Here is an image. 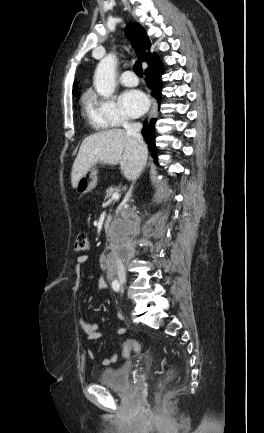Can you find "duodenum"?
Listing matches in <instances>:
<instances>
[{
	"instance_id": "410a0bca",
	"label": "duodenum",
	"mask_w": 264,
	"mask_h": 433,
	"mask_svg": "<svg viewBox=\"0 0 264 433\" xmlns=\"http://www.w3.org/2000/svg\"><path fill=\"white\" fill-rule=\"evenodd\" d=\"M105 232L107 233L108 236H110L111 223L109 221L105 223ZM117 258H118V253L115 249H113L110 253V260L108 262V269L110 274L114 273L117 270Z\"/></svg>"
}]
</instances>
